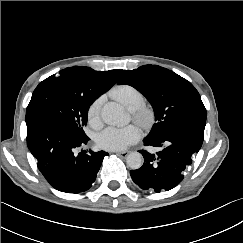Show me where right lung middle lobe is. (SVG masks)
Segmentation results:
<instances>
[{
  "label": "right lung middle lobe",
  "instance_id": "1",
  "mask_svg": "<svg viewBox=\"0 0 243 243\" xmlns=\"http://www.w3.org/2000/svg\"><path fill=\"white\" fill-rule=\"evenodd\" d=\"M94 100L72 90L65 76L52 75L34 90L26 115L50 114L65 122L78 135L86 136L83 127L87 124L88 109Z\"/></svg>",
  "mask_w": 243,
  "mask_h": 243
}]
</instances>
